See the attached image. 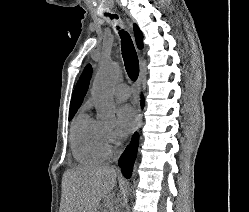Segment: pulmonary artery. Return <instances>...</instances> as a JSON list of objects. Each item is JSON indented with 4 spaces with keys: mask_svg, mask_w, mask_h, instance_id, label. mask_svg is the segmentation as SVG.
I'll list each match as a JSON object with an SVG mask.
<instances>
[{
    "mask_svg": "<svg viewBox=\"0 0 249 212\" xmlns=\"http://www.w3.org/2000/svg\"><path fill=\"white\" fill-rule=\"evenodd\" d=\"M96 56L99 54H95ZM114 95L116 98L126 100L131 95V89L125 83L117 84L114 88Z\"/></svg>",
    "mask_w": 249,
    "mask_h": 212,
    "instance_id": "pulmonary-artery-1",
    "label": "pulmonary artery"
}]
</instances>
